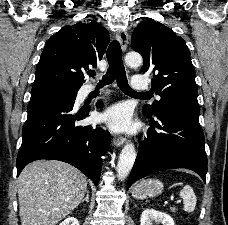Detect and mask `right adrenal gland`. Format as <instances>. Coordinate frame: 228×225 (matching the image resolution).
Here are the masks:
<instances>
[{"instance_id": "right-adrenal-gland-1", "label": "right adrenal gland", "mask_w": 228, "mask_h": 225, "mask_svg": "<svg viewBox=\"0 0 228 225\" xmlns=\"http://www.w3.org/2000/svg\"><path fill=\"white\" fill-rule=\"evenodd\" d=\"M82 201H86V203H90V201H89V191H87L86 197H85V199H82Z\"/></svg>"}]
</instances>
